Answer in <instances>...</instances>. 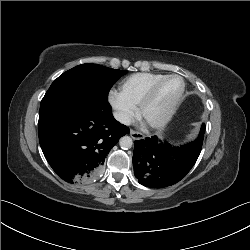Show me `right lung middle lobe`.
<instances>
[{
  "label": "right lung middle lobe",
  "mask_w": 250,
  "mask_h": 250,
  "mask_svg": "<svg viewBox=\"0 0 250 250\" xmlns=\"http://www.w3.org/2000/svg\"><path fill=\"white\" fill-rule=\"evenodd\" d=\"M126 73V70L96 64L78 65L53 81L41 101L39 113L74 96H89L108 101L110 88Z\"/></svg>",
  "instance_id": "obj_1"
}]
</instances>
